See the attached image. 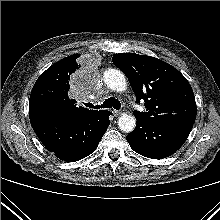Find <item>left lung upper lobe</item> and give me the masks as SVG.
<instances>
[{
    "mask_svg": "<svg viewBox=\"0 0 220 220\" xmlns=\"http://www.w3.org/2000/svg\"><path fill=\"white\" fill-rule=\"evenodd\" d=\"M112 61L128 77L136 102H145L146 112L134 111L136 118L152 123L195 122L197 109L193 90L173 66L135 53L115 54Z\"/></svg>",
    "mask_w": 220,
    "mask_h": 220,
    "instance_id": "obj_1",
    "label": "left lung upper lobe"
}]
</instances>
